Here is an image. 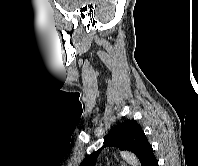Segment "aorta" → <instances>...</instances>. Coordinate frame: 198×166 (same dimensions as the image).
I'll return each instance as SVG.
<instances>
[{"mask_svg":"<svg viewBox=\"0 0 198 166\" xmlns=\"http://www.w3.org/2000/svg\"><path fill=\"white\" fill-rule=\"evenodd\" d=\"M120 155L130 166H140L139 160L133 153L123 151L120 153Z\"/></svg>","mask_w":198,"mask_h":166,"instance_id":"762f6f07","label":"aorta"}]
</instances>
